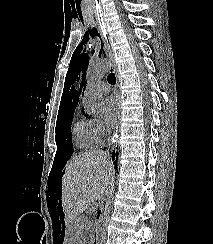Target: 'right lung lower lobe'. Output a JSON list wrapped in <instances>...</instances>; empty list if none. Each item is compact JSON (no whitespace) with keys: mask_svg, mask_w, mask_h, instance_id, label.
Returning a JSON list of instances; mask_svg holds the SVG:
<instances>
[{"mask_svg":"<svg viewBox=\"0 0 213 244\" xmlns=\"http://www.w3.org/2000/svg\"><path fill=\"white\" fill-rule=\"evenodd\" d=\"M112 157H113V161L115 162V165H116V162H117V153H115V151H113Z\"/></svg>","mask_w":213,"mask_h":244,"instance_id":"obj_1","label":"right lung lower lobe"}]
</instances>
